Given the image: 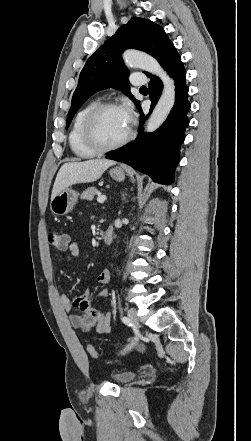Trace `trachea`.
Wrapping results in <instances>:
<instances>
[{
  "label": "trachea",
  "mask_w": 251,
  "mask_h": 441,
  "mask_svg": "<svg viewBox=\"0 0 251 441\" xmlns=\"http://www.w3.org/2000/svg\"><path fill=\"white\" fill-rule=\"evenodd\" d=\"M140 89H146V87H145V86H142Z\"/></svg>",
  "instance_id": "trachea-1"
}]
</instances>
